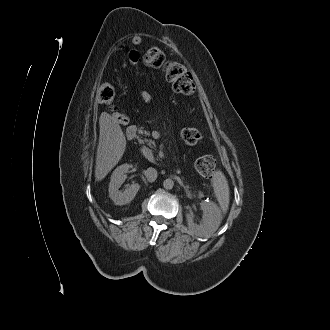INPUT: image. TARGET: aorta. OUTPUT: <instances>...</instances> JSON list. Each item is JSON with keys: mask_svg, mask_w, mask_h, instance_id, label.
<instances>
[{"mask_svg": "<svg viewBox=\"0 0 330 330\" xmlns=\"http://www.w3.org/2000/svg\"><path fill=\"white\" fill-rule=\"evenodd\" d=\"M173 186H174V182H173L172 179H169V178H168V179L164 180V182H163V187H164L165 189L170 190V189L173 188Z\"/></svg>", "mask_w": 330, "mask_h": 330, "instance_id": "1", "label": "aorta"}]
</instances>
